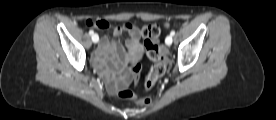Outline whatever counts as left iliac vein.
<instances>
[{
  "mask_svg": "<svg viewBox=\"0 0 276 120\" xmlns=\"http://www.w3.org/2000/svg\"><path fill=\"white\" fill-rule=\"evenodd\" d=\"M172 41H173V39H172L171 35L167 36L165 39V42L168 46H170L172 44Z\"/></svg>",
  "mask_w": 276,
  "mask_h": 120,
  "instance_id": "left-iliac-vein-1",
  "label": "left iliac vein"
}]
</instances>
